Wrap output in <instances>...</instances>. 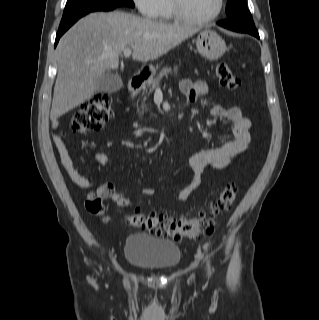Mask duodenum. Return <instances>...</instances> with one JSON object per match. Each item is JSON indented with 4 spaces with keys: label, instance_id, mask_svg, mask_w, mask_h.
I'll return each instance as SVG.
<instances>
[{
    "label": "duodenum",
    "instance_id": "1",
    "mask_svg": "<svg viewBox=\"0 0 319 320\" xmlns=\"http://www.w3.org/2000/svg\"><path fill=\"white\" fill-rule=\"evenodd\" d=\"M145 81V76L142 74H138L133 76L128 83V88L131 92L138 90L143 82Z\"/></svg>",
    "mask_w": 319,
    "mask_h": 320
}]
</instances>
